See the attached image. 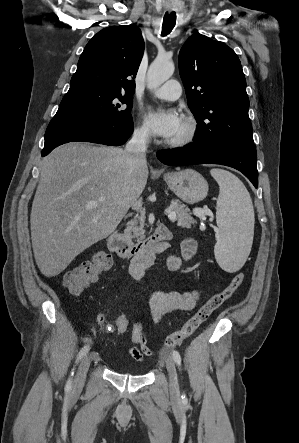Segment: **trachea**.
<instances>
[{"label":"trachea","mask_w":299,"mask_h":443,"mask_svg":"<svg viewBox=\"0 0 299 443\" xmlns=\"http://www.w3.org/2000/svg\"><path fill=\"white\" fill-rule=\"evenodd\" d=\"M176 23V16L175 14H168L166 13L163 19V25H162V36L168 35L172 29L174 28Z\"/></svg>","instance_id":"obj_1"}]
</instances>
